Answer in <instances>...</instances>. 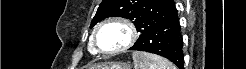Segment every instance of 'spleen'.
<instances>
[{"label": "spleen", "instance_id": "spleen-1", "mask_svg": "<svg viewBox=\"0 0 246 69\" xmlns=\"http://www.w3.org/2000/svg\"><path fill=\"white\" fill-rule=\"evenodd\" d=\"M132 57L135 69H177L173 63L158 55L135 51Z\"/></svg>", "mask_w": 246, "mask_h": 69}]
</instances>
